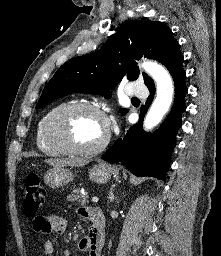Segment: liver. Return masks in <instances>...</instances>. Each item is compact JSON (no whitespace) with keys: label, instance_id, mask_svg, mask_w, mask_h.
<instances>
[{"label":"liver","instance_id":"1","mask_svg":"<svg viewBox=\"0 0 221 256\" xmlns=\"http://www.w3.org/2000/svg\"><path fill=\"white\" fill-rule=\"evenodd\" d=\"M45 162L54 168L65 167V166H83L88 163L85 159L80 158H65V159H46Z\"/></svg>","mask_w":221,"mask_h":256}]
</instances>
